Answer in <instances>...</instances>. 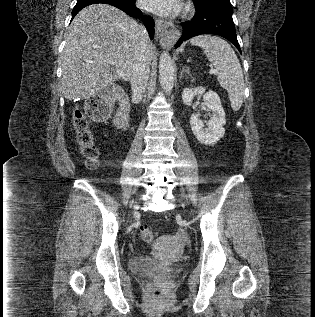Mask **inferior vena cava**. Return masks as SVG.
<instances>
[{"instance_id":"inferior-vena-cava-1","label":"inferior vena cava","mask_w":315,"mask_h":317,"mask_svg":"<svg viewBox=\"0 0 315 317\" xmlns=\"http://www.w3.org/2000/svg\"><path fill=\"white\" fill-rule=\"evenodd\" d=\"M143 28V37L138 45L137 55L133 65V71L130 77L131 88L133 96L137 99H141L146 90L147 82L149 79V37L146 30Z\"/></svg>"}]
</instances>
